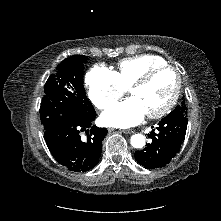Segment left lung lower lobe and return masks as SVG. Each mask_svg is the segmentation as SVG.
I'll return each mask as SVG.
<instances>
[{
	"mask_svg": "<svg viewBox=\"0 0 221 221\" xmlns=\"http://www.w3.org/2000/svg\"><path fill=\"white\" fill-rule=\"evenodd\" d=\"M187 113L173 111L164 117L148 137L152 139L143 150L135 152L138 163L148 169L167 165L179 152L187 129ZM153 128V127H152Z\"/></svg>",
	"mask_w": 221,
	"mask_h": 221,
	"instance_id": "obj_1",
	"label": "left lung lower lobe"
}]
</instances>
